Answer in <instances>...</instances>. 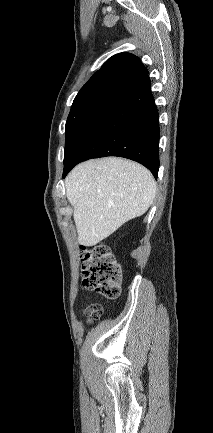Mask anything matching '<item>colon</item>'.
<instances>
[{
    "label": "colon",
    "instance_id": "colon-1",
    "mask_svg": "<svg viewBox=\"0 0 213 433\" xmlns=\"http://www.w3.org/2000/svg\"><path fill=\"white\" fill-rule=\"evenodd\" d=\"M123 272V265L108 245L99 243L84 248L82 283L85 288L99 293L106 299H117L121 291ZM102 310L100 304H91L85 309V315L93 320L102 314Z\"/></svg>",
    "mask_w": 213,
    "mask_h": 433
}]
</instances>
